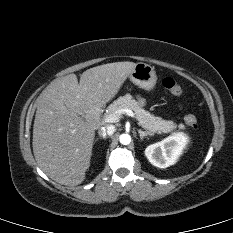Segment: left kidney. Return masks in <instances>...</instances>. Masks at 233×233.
Here are the masks:
<instances>
[{"instance_id":"left-kidney-1","label":"left kidney","mask_w":233,"mask_h":233,"mask_svg":"<svg viewBox=\"0 0 233 233\" xmlns=\"http://www.w3.org/2000/svg\"><path fill=\"white\" fill-rule=\"evenodd\" d=\"M188 141L186 136L178 133L149 145L145 150V155L152 165L166 168L176 163Z\"/></svg>"}]
</instances>
